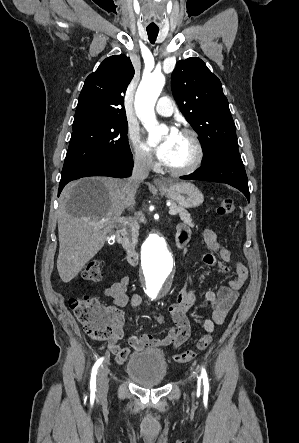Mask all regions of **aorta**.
<instances>
[{"mask_svg": "<svg viewBox=\"0 0 299 443\" xmlns=\"http://www.w3.org/2000/svg\"><path fill=\"white\" fill-rule=\"evenodd\" d=\"M165 77L152 73L143 77L135 95L138 118L149 133V141L157 143L168 132L156 120L154 106L159 97ZM173 269V255L166 239L159 232H151L142 248V271L145 278V293L149 299H158L167 291V279Z\"/></svg>", "mask_w": 299, "mask_h": 443, "instance_id": "aorta-1", "label": "aorta"}]
</instances>
